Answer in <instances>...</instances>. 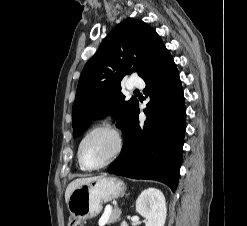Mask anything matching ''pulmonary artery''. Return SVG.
Returning a JSON list of instances; mask_svg holds the SVG:
<instances>
[{
	"label": "pulmonary artery",
	"mask_w": 247,
	"mask_h": 226,
	"mask_svg": "<svg viewBox=\"0 0 247 226\" xmlns=\"http://www.w3.org/2000/svg\"><path fill=\"white\" fill-rule=\"evenodd\" d=\"M143 87H144L143 80L137 77L131 78L128 84L129 89H142Z\"/></svg>",
	"instance_id": "obj_1"
}]
</instances>
